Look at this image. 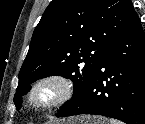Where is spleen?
<instances>
[{
  "mask_svg": "<svg viewBox=\"0 0 145 124\" xmlns=\"http://www.w3.org/2000/svg\"><path fill=\"white\" fill-rule=\"evenodd\" d=\"M110 124H122L121 122L115 121V120H111Z\"/></svg>",
  "mask_w": 145,
  "mask_h": 124,
  "instance_id": "3e777b00",
  "label": "spleen"
}]
</instances>
